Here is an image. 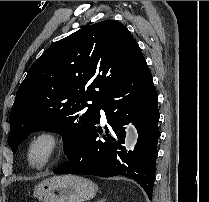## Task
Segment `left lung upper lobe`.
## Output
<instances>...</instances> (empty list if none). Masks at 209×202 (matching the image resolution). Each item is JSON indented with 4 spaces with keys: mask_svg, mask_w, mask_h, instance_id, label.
Here are the masks:
<instances>
[{
    "mask_svg": "<svg viewBox=\"0 0 209 202\" xmlns=\"http://www.w3.org/2000/svg\"><path fill=\"white\" fill-rule=\"evenodd\" d=\"M145 63L128 29L113 20L55 42L32 64L16 93L8 139L13 153L30 133L51 131L62 135L68 155L84 138L99 101Z\"/></svg>",
    "mask_w": 209,
    "mask_h": 202,
    "instance_id": "5c2ea615",
    "label": "left lung upper lobe"
}]
</instances>
